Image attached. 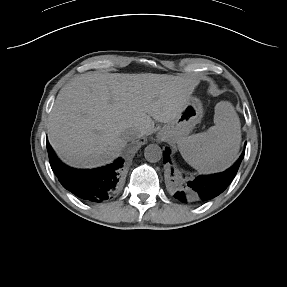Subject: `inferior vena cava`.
I'll return each instance as SVG.
<instances>
[{
	"instance_id": "obj_1",
	"label": "inferior vena cava",
	"mask_w": 287,
	"mask_h": 287,
	"mask_svg": "<svg viewBox=\"0 0 287 287\" xmlns=\"http://www.w3.org/2000/svg\"><path fill=\"white\" fill-rule=\"evenodd\" d=\"M122 135L126 141H132V140L142 137L144 135V132L143 131L140 132L136 129H127L123 132Z\"/></svg>"
}]
</instances>
